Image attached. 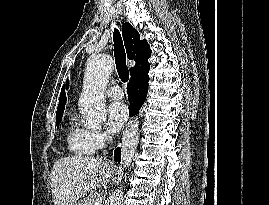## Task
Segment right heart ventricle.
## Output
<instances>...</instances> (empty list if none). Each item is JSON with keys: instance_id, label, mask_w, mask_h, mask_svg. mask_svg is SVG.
I'll use <instances>...</instances> for the list:
<instances>
[{"instance_id": "1", "label": "right heart ventricle", "mask_w": 269, "mask_h": 205, "mask_svg": "<svg viewBox=\"0 0 269 205\" xmlns=\"http://www.w3.org/2000/svg\"><path fill=\"white\" fill-rule=\"evenodd\" d=\"M67 144L69 150L76 156L86 157L94 152L87 141L86 131L73 123L68 126Z\"/></svg>"}]
</instances>
